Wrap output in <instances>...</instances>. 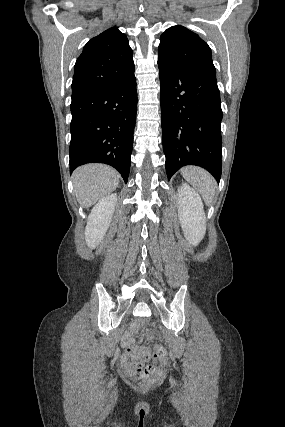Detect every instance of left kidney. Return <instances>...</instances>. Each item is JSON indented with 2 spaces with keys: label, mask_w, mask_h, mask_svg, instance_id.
<instances>
[{
  "label": "left kidney",
  "mask_w": 285,
  "mask_h": 427,
  "mask_svg": "<svg viewBox=\"0 0 285 427\" xmlns=\"http://www.w3.org/2000/svg\"><path fill=\"white\" fill-rule=\"evenodd\" d=\"M178 215L185 238L198 245L206 233V216L200 196L187 184L178 188Z\"/></svg>",
  "instance_id": "obj_1"
}]
</instances>
